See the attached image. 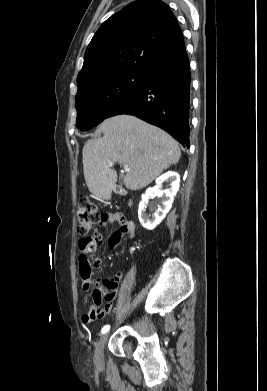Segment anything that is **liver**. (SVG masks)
<instances>
[{
    "instance_id": "obj_1",
    "label": "liver",
    "mask_w": 267,
    "mask_h": 391,
    "mask_svg": "<svg viewBox=\"0 0 267 391\" xmlns=\"http://www.w3.org/2000/svg\"><path fill=\"white\" fill-rule=\"evenodd\" d=\"M99 130L103 137L88 140L82 152L85 182L99 199H110L117 182V173L108 161L128 165L125 186L140 190L180 159L181 151L174 138L134 116L108 118Z\"/></svg>"
}]
</instances>
